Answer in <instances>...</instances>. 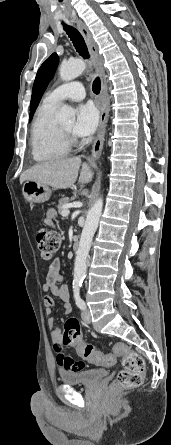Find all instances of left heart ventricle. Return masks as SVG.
I'll return each mask as SVG.
<instances>
[{
    "label": "left heart ventricle",
    "mask_w": 171,
    "mask_h": 445,
    "mask_svg": "<svg viewBox=\"0 0 171 445\" xmlns=\"http://www.w3.org/2000/svg\"><path fill=\"white\" fill-rule=\"evenodd\" d=\"M61 127L63 129H65L66 131L73 133L74 124L72 122L66 123V124H61Z\"/></svg>",
    "instance_id": "obj_1"
}]
</instances>
